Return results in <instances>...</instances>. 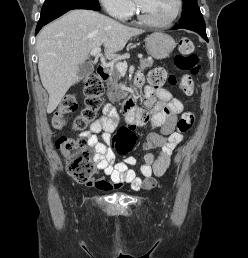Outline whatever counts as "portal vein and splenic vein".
<instances>
[{"mask_svg": "<svg viewBox=\"0 0 248 258\" xmlns=\"http://www.w3.org/2000/svg\"><path fill=\"white\" fill-rule=\"evenodd\" d=\"M100 52H101V49L100 48H94L91 52H90V54L92 55V56H100L101 54H100ZM139 58H141V56H138ZM115 67L119 70V72H121V73H125L126 71H127V63H125V62H117L116 64H115Z\"/></svg>", "mask_w": 248, "mask_h": 258, "instance_id": "portal-vein-and-splenic-vein-1", "label": "portal vein and splenic vein"}]
</instances>
